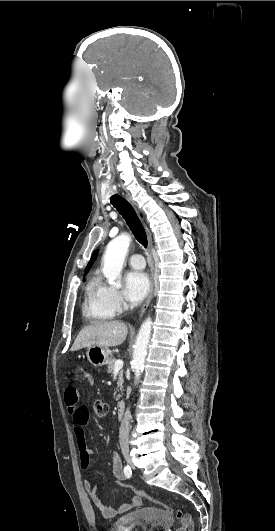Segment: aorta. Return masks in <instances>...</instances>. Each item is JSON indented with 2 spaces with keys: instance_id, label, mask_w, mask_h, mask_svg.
Returning a JSON list of instances; mask_svg holds the SVG:
<instances>
[{
  "instance_id": "762f6f07",
  "label": "aorta",
  "mask_w": 275,
  "mask_h": 531,
  "mask_svg": "<svg viewBox=\"0 0 275 531\" xmlns=\"http://www.w3.org/2000/svg\"><path fill=\"white\" fill-rule=\"evenodd\" d=\"M130 243L131 237L126 235V233H122V235L110 241L106 247V251L102 257V273L111 285H115V281H117L123 269V263ZM151 331L152 321L150 317H147L139 329L134 347L132 369H134L135 385L140 381L141 373H143Z\"/></svg>"
}]
</instances>
